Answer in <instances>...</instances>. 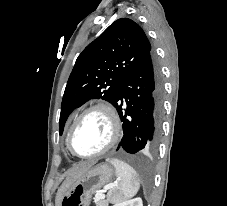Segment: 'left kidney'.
<instances>
[{"instance_id": "1", "label": "left kidney", "mask_w": 227, "mask_h": 206, "mask_svg": "<svg viewBox=\"0 0 227 206\" xmlns=\"http://www.w3.org/2000/svg\"><path fill=\"white\" fill-rule=\"evenodd\" d=\"M114 206H143L141 198H135L115 204Z\"/></svg>"}]
</instances>
